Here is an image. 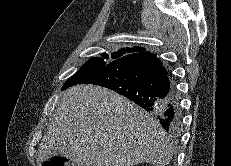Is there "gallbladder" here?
I'll use <instances>...</instances> for the list:
<instances>
[{
    "mask_svg": "<svg viewBox=\"0 0 231 166\" xmlns=\"http://www.w3.org/2000/svg\"><path fill=\"white\" fill-rule=\"evenodd\" d=\"M73 166H78L77 164H74Z\"/></svg>",
    "mask_w": 231,
    "mask_h": 166,
    "instance_id": "1",
    "label": "gallbladder"
}]
</instances>
